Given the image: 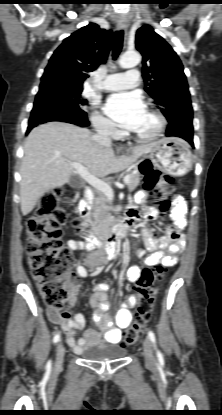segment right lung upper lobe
I'll list each match as a JSON object with an SVG mask.
<instances>
[{
  "label": "right lung upper lobe",
  "instance_id": "obj_1",
  "mask_svg": "<svg viewBox=\"0 0 222 415\" xmlns=\"http://www.w3.org/2000/svg\"><path fill=\"white\" fill-rule=\"evenodd\" d=\"M112 31L90 23L63 40L49 60L41 84L55 81L67 86L81 87L110 50Z\"/></svg>",
  "mask_w": 222,
  "mask_h": 415
}]
</instances>
